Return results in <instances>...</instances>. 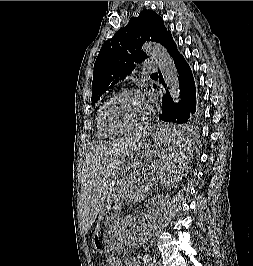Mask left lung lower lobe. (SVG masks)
<instances>
[{
  "label": "left lung lower lobe",
  "mask_w": 253,
  "mask_h": 266,
  "mask_svg": "<svg viewBox=\"0 0 253 266\" xmlns=\"http://www.w3.org/2000/svg\"><path fill=\"white\" fill-rule=\"evenodd\" d=\"M164 47L172 56L179 74L181 100L178 103H174L166 89V94L162 98L163 107L159 119L162 122L171 123V135L174 139H178L183 137L186 132V128L181 125L187 124L190 114H194L196 110L195 83L191 69L183 56L179 54L171 35L167 38ZM159 82L165 86L161 73ZM154 88H156L155 85Z\"/></svg>",
  "instance_id": "0a47b994"
}]
</instances>
